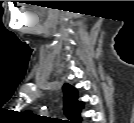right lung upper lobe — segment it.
<instances>
[{"label":"right lung upper lobe","mask_w":134,"mask_h":123,"mask_svg":"<svg viewBox=\"0 0 134 123\" xmlns=\"http://www.w3.org/2000/svg\"><path fill=\"white\" fill-rule=\"evenodd\" d=\"M63 92L64 113L66 117L71 120V123H80L82 120L80 112L81 108H83V103L78 101L77 90L69 84H64Z\"/></svg>","instance_id":"right-lung-upper-lobe-1"}]
</instances>
